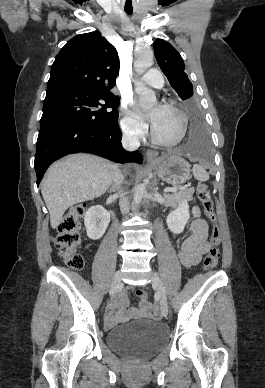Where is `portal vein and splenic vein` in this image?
<instances>
[{
	"instance_id": "1",
	"label": "portal vein and splenic vein",
	"mask_w": 265,
	"mask_h": 388,
	"mask_svg": "<svg viewBox=\"0 0 265 388\" xmlns=\"http://www.w3.org/2000/svg\"><path fill=\"white\" fill-rule=\"evenodd\" d=\"M163 192H176L175 188H165Z\"/></svg>"
}]
</instances>
